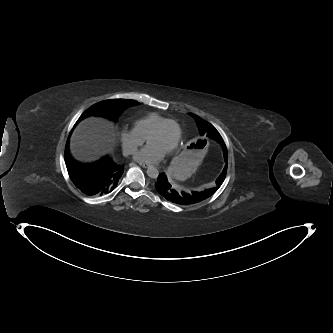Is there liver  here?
I'll return each mask as SVG.
<instances>
[{
  "label": "liver",
  "instance_id": "liver-1",
  "mask_svg": "<svg viewBox=\"0 0 333 333\" xmlns=\"http://www.w3.org/2000/svg\"><path fill=\"white\" fill-rule=\"evenodd\" d=\"M113 124L103 118L90 117L81 121L71 136L70 149L75 159L93 162L111 153L116 143Z\"/></svg>",
  "mask_w": 333,
  "mask_h": 333
}]
</instances>
